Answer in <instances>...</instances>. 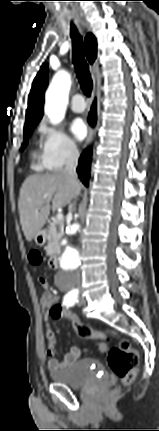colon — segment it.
<instances>
[{
    "label": "colon",
    "mask_w": 159,
    "mask_h": 431,
    "mask_svg": "<svg viewBox=\"0 0 159 431\" xmlns=\"http://www.w3.org/2000/svg\"><path fill=\"white\" fill-rule=\"evenodd\" d=\"M32 262L40 261V254L32 252L30 255ZM47 307L53 310L51 322H62L66 325H73L77 335L83 339H97L101 354L107 355L108 365L113 374L120 379L122 384L130 385L136 378L139 357L132 344L125 339L119 340L112 346L107 343L109 337L102 331L94 330L91 326L81 322L75 309H68L63 301H56L55 296L50 295L46 298Z\"/></svg>",
    "instance_id": "1"
}]
</instances>
